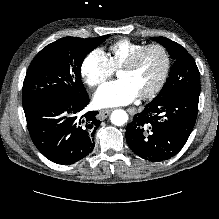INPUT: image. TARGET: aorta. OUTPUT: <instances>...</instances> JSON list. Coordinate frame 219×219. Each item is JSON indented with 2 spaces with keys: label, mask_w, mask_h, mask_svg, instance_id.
<instances>
[{
  "label": "aorta",
  "mask_w": 219,
  "mask_h": 219,
  "mask_svg": "<svg viewBox=\"0 0 219 219\" xmlns=\"http://www.w3.org/2000/svg\"><path fill=\"white\" fill-rule=\"evenodd\" d=\"M112 124L122 126L128 121V114L121 109L114 110L110 116Z\"/></svg>",
  "instance_id": "1"
}]
</instances>
